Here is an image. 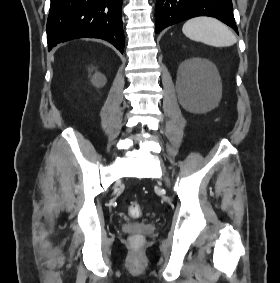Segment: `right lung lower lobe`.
Returning <instances> with one entry per match:
<instances>
[{
    "label": "right lung lower lobe",
    "instance_id": "98d812e1",
    "mask_svg": "<svg viewBox=\"0 0 280 283\" xmlns=\"http://www.w3.org/2000/svg\"><path fill=\"white\" fill-rule=\"evenodd\" d=\"M123 0H51L47 19L48 50L77 38H99L124 50Z\"/></svg>",
    "mask_w": 280,
    "mask_h": 283
}]
</instances>
